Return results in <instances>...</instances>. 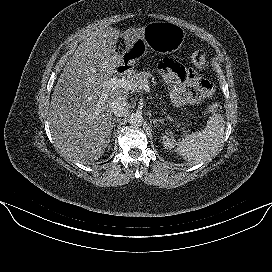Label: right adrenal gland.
Segmentation results:
<instances>
[{
    "mask_svg": "<svg viewBox=\"0 0 272 272\" xmlns=\"http://www.w3.org/2000/svg\"><path fill=\"white\" fill-rule=\"evenodd\" d=\"M119 120V118H113L112 120V127L115 128V123Z\"/></svg>",
    "mask_w": 272,
    "mask_h": 272,
    "instance_id": "1",
    "label": "right adrenal gland"
}]
</instances>
